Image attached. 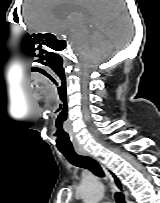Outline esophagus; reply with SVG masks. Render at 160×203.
<instances>
[{"mask_svg":"<svg viewBox=\"0 0 160 203\" xmlns=\"http://www.w3.org/2000/svg\"><path fill=\"white\" fill-rule=\"evenodd\" d=\"M76 152L80 155H84V156H89V157H93L89 152H87L85 149L83 148H76ZM104 171L107 173V175L110 177L114 187L117 190H121L126 203H129V195L127 190L125 189V187L122 185V183L120 182L119 178L105 165H102Z\"/></svg>","mask_w":160,"mask_h":203,"instance_id":"1","label":"esophagus"}]
</instances>
